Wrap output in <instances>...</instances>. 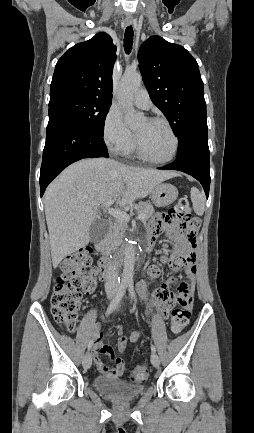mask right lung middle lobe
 I'll return each instance as SVG.
<instances>
[{
    "label": "right lung middle lobe",
    "mask_w": 254,
    "mask_h": 433,
    "mask_svg": "<svg viewBox=\"0 0 254 433\" xmlns=\"http://www.w3.org/2000/svg\"><path fill=\"white\" fill-rule=\"evenodd\" d=\"M111 103L93 99H66L49 105V117L62 116L103 135Z\"/></svg>",
    "instance_id": "obj_1"
}]
</instances>
